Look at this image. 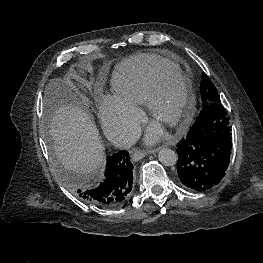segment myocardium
<instances>
[{
	"label": "myocardium",
	"mask_w": 263,
	"mask_h": 263,
	"mask_svg": "<svg viewBox=\"0 0 263 263\" xmlns=\"http://www.w3.org/2000/svg\"><path fill=\"white\" fill-rule=\"evenodd\" d=\"M175 79L182 88V103L176 116L168 122V126L178 129L185 125L191 118L195 109V98L190 82L179 72V70H164L158 72L151 80L150 86L144 101L147 115L150 118L156 117V101L159 90L164 81Z\"/></svg>",
	"instance_id": "1"
}]
</instances>
